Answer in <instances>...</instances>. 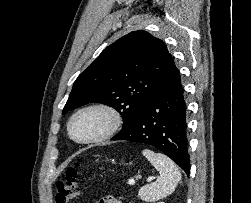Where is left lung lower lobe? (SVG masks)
<instances>
[{"label":"left lung lower lobe","instance_id":"left-lung-lower-lobe-1","mask_svg":"<svg viewBox=\"0 0 251 203\" xmlns=\"http://www.w3.org/2000/svg\"><path fill=\"white\" fill-rule=\"evenodd\" d=\"M112 140L154 146L189 175L187 105L180 72L173 60L133 123Z\"/></svg>","mask_w":251,"mask_h":203}]
</instances>
